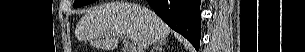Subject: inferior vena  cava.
<instances>
[{"instance_id":"obj_1","label":"inferior vena cava","mask_w":305,"mask_h":52,"mask_svg":"<svg viewBox=\"0 0 305 52\" xmlns=\"http://www.w3.org/2000/svg\"><path fill=\"white\" fill-rule=\"evenodd\" d=\"M149 43H143L141 47H139V52H145V50L148 48Z\"/></svg>"}]
</instances>
